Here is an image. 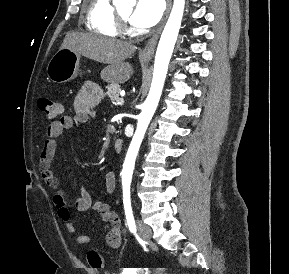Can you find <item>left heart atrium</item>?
I'll return each instance as SVG.
<instances>
[{"mask_svg": "<svg viewBox=\"0 0 289 274\" xmlns=\"http://www.w3.org/2000/svg\"><path fill=\"white\" fill-rule=\"evenodd\" d=\"M163 9V0H138L130 21L137 27H151L160 20Z\"/></svg>", "mask_w": 289, "mask_h": 274, "instance_id": "obj_1", "label": "left heart atrium"}]
</instances>
